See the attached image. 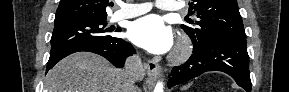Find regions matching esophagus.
I'll use <instances>...</instances> for the list:
<instances>
[{
	"instance_id": "esophagus-1",
	"label": "esophagus",
	"mask_w": 289,
	"mask_h": 92,
	"mask_svg": "<svg viewBox=\"0 0 289 92\" xmlns=\"http://www.w3.org/2000/svg\"><path fill=\"white\" fill-rule=\"evenodd\" d=\"M145 68L147 70L148 75V84L149 86H153L160 76L161 67L154 61L148 60L145 63Z\"/></svg>"
}]
</instances>
